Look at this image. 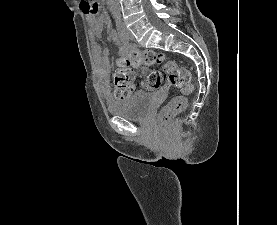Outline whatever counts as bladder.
Listing matches in <instances>:
<instances>
[{
	"mask_svg": "<svg viewBox=\"0 0 277 225\" xmlns=\"http://www.w3.org/2000/svg\"><path fill=\"white\" fill-rule=\"evenodd\" d=\"M153 108V96L150 92L136 91L128 99L108 104L111 115L127 120H144Z\"/></svg>",
	"mask_w": 277,
	"mask_h": 225,
	"instance_id": "31cf9c89",
	"label": "bladder"
}]
</instances>
